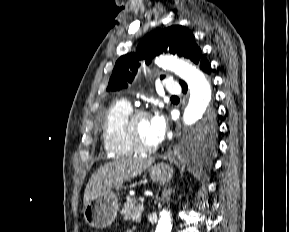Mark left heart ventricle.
<instances>
[{
    "mask_svg": "<svg viewBox=\"0 0 289 232\" xmlns=\"http://www.w3.org/2000/svg\"><path fill=\"white\" fill-rule=\"evenodd\" d=\"M135 133L139 141L146 146H155L151 130H150V117H141L135 122Z\"/></svg>",
    "mask_w": 289,
    "mask_h": 232,
    "instance_id": "1",
    "label": "left heart ventricle"
}]
</instances>
